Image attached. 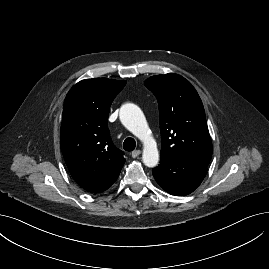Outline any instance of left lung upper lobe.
Wrapping results in <instances>:
<instances>
[{
    "instance_id": "1",
    "label": "left lung upper lobe",
    "mask_w": 269,
    "mask_h": 269,
    "mask_svg": "<svg viewBox=\"0 0 269 269\" xmlns=\"http://www.w3.org/2000/svg\"><path fill=\"white\" fill-rule=\"evenodd\" d=\"M159 103L161 156H173L208 166L212 156L202 101L189 81L169 73L144 82Z\"/></svg>"
}]
</instances>
